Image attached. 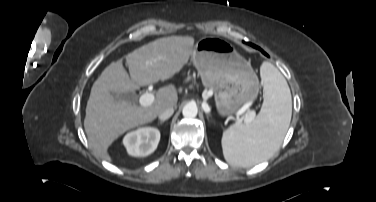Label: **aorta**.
Returning a JSON list of instances; mask_svg holds the SVG:
<instances>
[{"instance_id": "aorta-1", "label": "aorta", "mask_w": 376, "mask_h": 202, "mask_svg": "<svg viewBox=\"0 0 376 202\" xmlns=\"http://www.w3.org/2000/svg\"><path fill=\"white\" fill-rule=\"evenodd\" d=\"M198 108L194 103H187L183 109L182 114L185 118H194L197 116Z\"/></svg>"}]
</instances>
